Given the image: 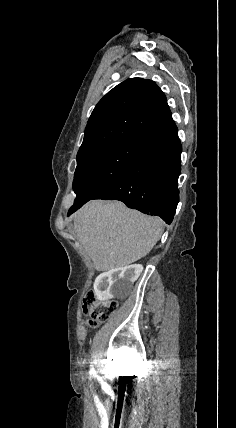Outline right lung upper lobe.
Segmentation results:
<instances>
[{
	"label": "right lung upper lobe",
	"instance_id": "obj_1",
	"mask_svg": "<svg viewBox=\"0 0 236 428\" xmlns=\"http://www.w3.org/2000/svg\"><path fill=\"white\" fill-rule=\"evenodd\" d=\"M172 118L166 97L151 80L131 78L94 108L77 161L128 140H141Z\"/></svg>",
	"mask_w": 236,
	"mask_h": 428
}]
</instances>
